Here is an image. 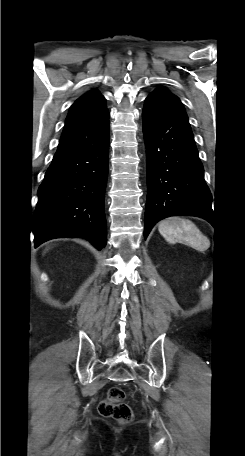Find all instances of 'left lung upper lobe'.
Listing matches in <instances>:
<instances>
[{"mask_svg":"<svg viewBox=\"0 0 245 456\" xmlns=\"http://www.w3.org/2000/svg\"><path fill=\"white\" fill-rule=\"evenodd\" d=\"M148 97L161 100L166 103H171L174 104L178 107L183 108V105L181 101L179 100L178 97L170 93L168 90H166L164 87H159L157 88L152 94H150Z\"/></svg>","mask_w":245,"mask_h":456,"instance_id":"5c2ea615","label":"left lung upper lobe"}]
</instances>
